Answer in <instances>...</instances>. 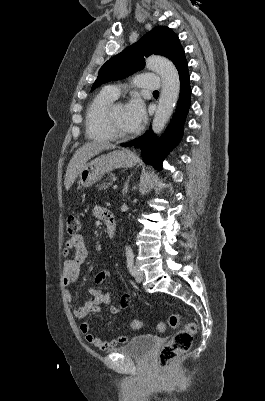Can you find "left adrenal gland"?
Wrapping results in <instances>:
<instances>
[{
	"label": "left adrenal gland",
	"mask_w": 265,
	"mask_h": 401,
	"mask_svg": "<svg viewBox=\"0 0 265 401\" xmlns=\"http://www.w3.org/2000/svg\"><path fill=\"white\" fill-rule=\"evenodd\" d=\"M129 180H130V178H128L127 182H125V184H124V186H123V188H122V194H123V196H125V194H126L128 188H129Z\"/></svg>",
	"instance_id": "left-adrenal-gland-1"
}]
</instances>
